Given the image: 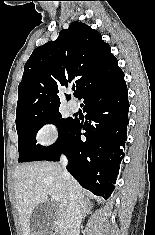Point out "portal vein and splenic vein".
<instances>
[{"label": "portal vein and splenic vein", "instance_id": "18ae733b", "mask_svg": "<svg viewBox=\"0 0 155 235\" xmlns=\"http://www.w3.org/2000/svg\"><path fill=\"white\" fill-rule=\"evenodd\" d=\"M52 199L55 201H60V197L58 195H52Z\"/></svg>", "mask_w": 155, "mask_h": 235}]
</instances>
